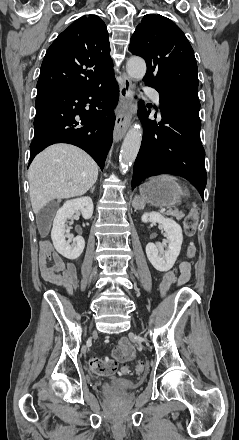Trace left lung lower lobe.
<instances>
[{
  "mask_svg": "<svg viewBox=\"0 0 239 440\" xmlns=\"http://www.w3.org/2000/svg\"><path fill=\"white\" fill-rule=\"evenodd\" d=\"M145 83L160 94L162 121L148 120L150 110L139 104L138 116L146 125L134 164L132 187L149 176L174 174L192 182L204 198L207 174L205 151L200 140L198 88H159Z\"/></svg>",
  "mask_w": 239,
  "mask_h": 440,
  "instance_id": "0a47b994",
  "label": "left lung lower lobe"
}]
</instances>
